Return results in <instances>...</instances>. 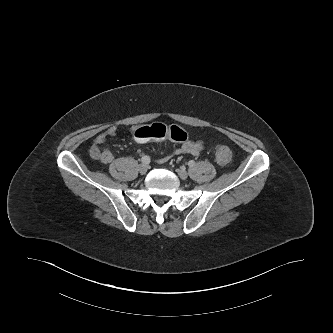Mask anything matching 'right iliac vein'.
Listing matches in <instances>:
<instances>
[{
    "mask_svg": "<svg viewBox=\"0 0 333 333\" xmlns=\"http://www.w3.org/2000/svg\"><path fill=\"white\" fill-rule=\"evenodd\" d=\"M148 171V165L147 164H140L139 165V172L141 174H146V172Z\"/></svg>",
    "mask_w": 333,
    "mask_h": 333,
    "instance_id": "63e3f726",
    "label": "right iliac vein"
}]
</instances>
